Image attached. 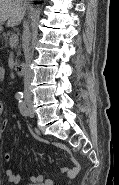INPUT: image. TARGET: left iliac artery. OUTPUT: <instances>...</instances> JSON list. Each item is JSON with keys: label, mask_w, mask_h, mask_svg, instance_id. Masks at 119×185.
Listing matches in <instances>:
<instances>
[{"label": "left iliac artery", "mask_w": 119, "mask_h": 185, "mask_svg": "<svg viewBox=\"0 0 119 185\" xmlns=\"http://www.w3.org/2000/svg\"><path fill=\"white\" fill-rule=\"evenodd\" d=\"M18 107H19L21 114L26 116L27 115V107H26V104L23 100H19Z\"/></svg>", "instance_id": "left-iliac-artery-1"}]
</instances>
